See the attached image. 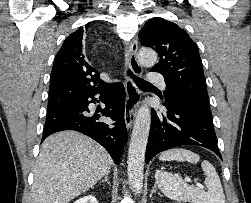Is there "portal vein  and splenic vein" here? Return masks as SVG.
<instances>
[{
    "mask_svg": "<svg viewBox=\"0 0 251 203\" xmlns=\"http://www.w3.org/2000/svg\"><path fill=\"white\" fill-rule=\"evenodd\" d=\"M197 187L203 188V186L200 183H196Z\"/></svg>",
    "mask_w": 251,
    "mask_h": 203,
    "instance_id": "obj_1",
    "label": "portal vein and splenic vein"
}]
</instances>
